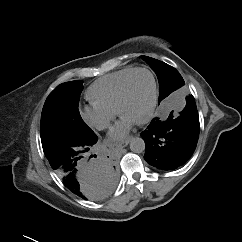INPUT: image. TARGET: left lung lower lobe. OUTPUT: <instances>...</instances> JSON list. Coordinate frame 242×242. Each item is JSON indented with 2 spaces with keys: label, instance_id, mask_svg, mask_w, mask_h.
Wrapping results in <instances>:
<instances>
[{
  "label": "left lung lower lobe",
  "instance_id": "1",
  "mask_svg": "<svg viewBox=\"0 0 242 242\" xmlns=\"http://www.w3.org/2000/svg\"><path fill=\"white\" fill-rule=\"evenodd\" d=\"M199 131L195 99L190 96L178 117L171 112L165 121L155 118L141 133L146 145L145 160L161 170L181 167L194 153Z\"/></svg>",
  "mask_w": 242,
  "mask_h": 242
}]
</instances>
